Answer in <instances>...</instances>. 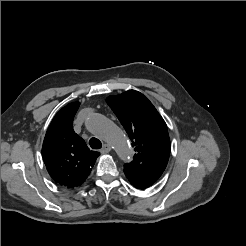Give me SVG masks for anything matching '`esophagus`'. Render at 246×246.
Returning <instances> with one entry per match:
<instances>
[{"label":"esophagus","mask_w":246,"mask_h":246,"mask_svg":"<svg viewBox=\"0 0 246 246\" xmlns=\"http://www.w3.org/2000/svg\"><path fill=\"white\" fill-rule=\"evenodd\" d=\"M110 151H111V146L109 144H104L101 149V153L105 154V153H109Z\"/></svg>","instance_id":"esophagus-1"}]
</instances>
